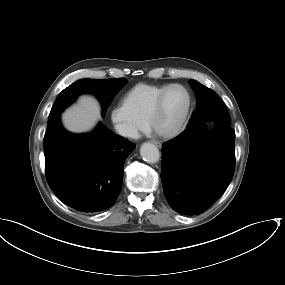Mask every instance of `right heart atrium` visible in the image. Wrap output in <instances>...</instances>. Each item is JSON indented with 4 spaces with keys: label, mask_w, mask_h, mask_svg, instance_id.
<instances>
[{
    "label": "right heart atrium",
    "mask_w": 285,
    "mask_h": 285,
    "mask_svg": "<svg viewBox=\"0 0 285 285\" xmlns=\"http://www.w3.org/2000/svg\"><path fill=\"white\" fill-rule=\"evenodd\" d=\"M109 117L115 132L126 139L135 138L140 130L146 128V123L136 118L124 102L113 106Z\"/></svg>",
    "instance_id": "d8ad5b80"
}]
</instances>
